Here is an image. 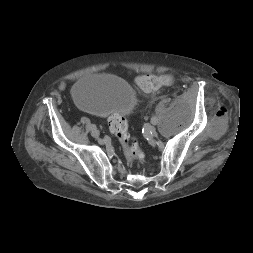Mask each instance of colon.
<instances>
[{"mask_svg": "<svg viewBox=\"0 0 253 253\" xmlns=\"http://www.w3.org/2000/svg\"><path fill=\"white\" fill-rule=\"evenodd\" d=\"M135 81L142 90L150 92L162 86L171 85L173 77L169 74L161 76L143 75L137 77ZM109 129L124 146L130 161L140 162L143 160L144 154L139 148L137 139L129 133L128 123L124 116H111L109 119Z\"/></svg>", "mask_w": 253, "mask_h": 253, "instance_id": "obj_1", "label": "colon"}]
</instances>
